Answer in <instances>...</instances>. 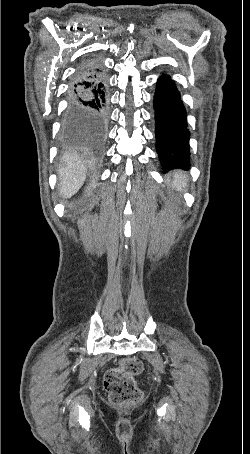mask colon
Listing matches in <instances>:
<instances>
[{"label":"colon","instance_id":"1","mask_svg":"<svg viewBox=\"0 0 250 454\" xmlns=\"http://www.w3.org/2000/svg\"><path fill=\"white\" fill-rule=\"evenodd\" d=\"M142 371V364L136 358H125L109 369L104 378L105 388L113 405L136 404L142 399L135 377Z\"/></svg>","mask_w":250,"mask_h":454}]
</instances>
